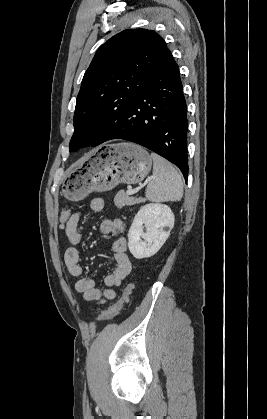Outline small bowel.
<instances>
[{
    "instance_id": "1",
    "label": "small bowel",
    "mask_w": 267,
    "mask_h": 419,
    "mask_svg": "<svg viewBox=\"0 0 267 419\" xmlns=\"http://www.w3.org/2000/svg\"><path fill=\"white\" fill-rule=\"evenodd\" d=\"M104 208L105 202L102 198H95L90 203V211L93 214L102 212ZM80 218L81 213L74 212L65 226V233L72 246L65 251L64 261L68 272L77 278L75 289L82 294L83 298L87 301L104 303L116 297L115 288L120 286L131 272V262L127 255V241L123 236L125 223L121 219H104L100 223V231L115 238L111 249L116 267L113 272L106 275L105 288L99 289L92 278L85 276L84 268L80 264V254L76 247L82 240V235L78 230Z\"/></svg>"
}]
</instances>
